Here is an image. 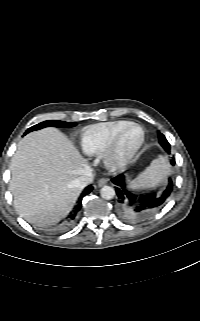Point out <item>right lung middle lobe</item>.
<instances>
[{"instance_id":"right-lung-middle-lobe-1","label":"right lung middle lobe","mask_w":200,"mask_h":321,"mask_svg":"<svg viewBox=\"0 0 200 321\" xmlns=\"http://www.w3.org/2000/svg\"><path fill=\"white\" fill-rule=\"evenodd\" d=\"M76 123L73 122H65V121H58V120H48V121H44L41 122L37 125L32 126L31 128H29L25 134L34 131V130H39L42 129L44 127H48V126H54V127H60V128H67V127H73L75 126Z\"/></svg>"}]
</instances>
